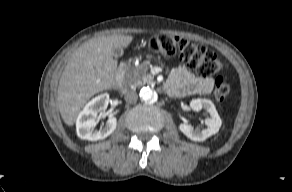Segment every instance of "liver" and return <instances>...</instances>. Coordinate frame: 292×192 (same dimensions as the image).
Listing matches in <instances>:
<instances>
[{"label":"liver","instance_id":"6515ba94","mask_svg":"<svg viewBox=\"0 0 292 192\" xmlns=\"http://www.w3.org/2000/svg\"><path fill=\"white\" fill-rule=\"evenodd\" d=\"M132 40L131 35L98 37L72 53L58 86V107L65 124L75 123L93 95L114 87L118 62L113 58V49L127 47Z\"/></svg>","mask_w":292,"mask_h":192}]
</instances>
